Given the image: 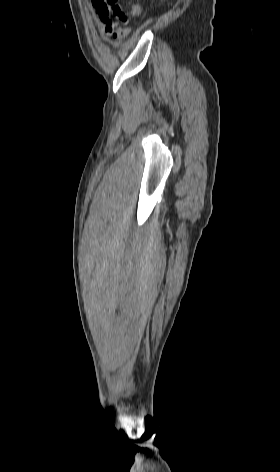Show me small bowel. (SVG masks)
<instances>
[{
	"instance_id": "obj_1",
	"label": "small bowel",
	"mask_w": 280,
	"mask_h": 472,
	"mask_svg": "<svg viewBox=\"0 0 280 472\" xmlns=\"http://www.w3.org/2000/svg\"><path fill=\"white\" fill-rule=\"evenodd\" d=\"M103 24H104V28H103L104 35L107 38H112V39H115V40L122 41L128 35V30L125 29V28H121V27H117L115 25H111L108 22H103Z\"/></svg>"
}]
</instances>
